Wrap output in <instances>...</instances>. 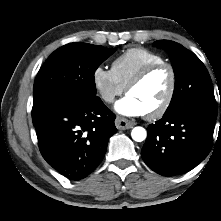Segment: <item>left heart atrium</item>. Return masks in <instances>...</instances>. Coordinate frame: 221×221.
<instances>
[{"label":"left heart atrium","mask_w":221,"mask_h":221,"mask_svg":"<svg viewBox=\"0 0 221 221\" xmlns=\"http://www.w3.org/2000/svg\"><path fill=\"white\" fill-rule=\"evenodd\" d=\"M115 109L118 113L131 117L142 116L146 114L143 105L130 94L120 99L116 103Z\"/></svg>","instance_id":"left-heart-atrium-1"}]
</instances>
